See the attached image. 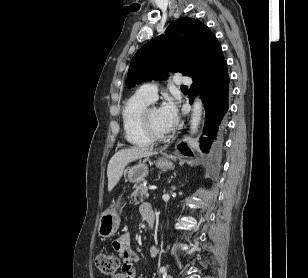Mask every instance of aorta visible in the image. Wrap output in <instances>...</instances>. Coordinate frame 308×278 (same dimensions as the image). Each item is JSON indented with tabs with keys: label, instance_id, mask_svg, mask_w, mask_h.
I'll return each mask as SVG.
<instances>
[{
	"label": "aorta",
	"instance_id": "aorta-1",
	"mask_svg": "<svg viewBox=\"0 0 308 278\" xmlns=\"http://www.w3.org/2000/svg\"><path fill=\"white\" fill-rule=\"evenodd\" d=\"M203 104L199 98H196L193 103L191 121H190V130L191 133L194 134L197 132L199 123L201 121Z\"/></svg>",
	"mask_w": 308,
	"mask_h": 278
}]
</instances>
